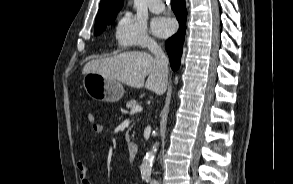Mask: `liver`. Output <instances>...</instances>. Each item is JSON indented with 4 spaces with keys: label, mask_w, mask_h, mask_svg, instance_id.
<instances>
[{
    "label": "liver",
    "mask_w": 293,
    "mask_h": 184,
    "mask_svg": "<svg viewBox=\"0 0 293 184\" xmlns=\"http://www.w3.org/2000/svg\"><path fill=\"white\" fill-rule=\"evenodd\" d=\"M95 72L116 79L134 88L145 87L156 94L166 91L152 55L146 52H124L103 59H92L83 68V74Z\"/></svg>",
    "instance_id": "1"
}]
</instances>
